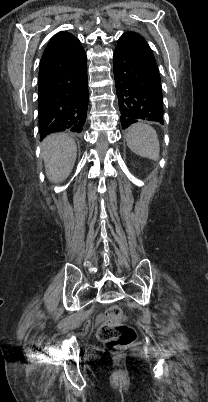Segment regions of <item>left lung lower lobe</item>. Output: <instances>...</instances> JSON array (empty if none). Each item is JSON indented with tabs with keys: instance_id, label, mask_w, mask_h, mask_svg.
Wrapping results in <instances>:
<instances>
[{
	"instance_id": "obj_1",
	"label": "left lung lower lobe",
	"mask_w": 208,
	"mask_h": 402,
	"mask_svg": "<svg viewBox=\"0 0 208 402\" xmlns=\"http://www.w3.org/2000/svg\"><path fill=\"white\" fill-rule=\"evenodd\" d=\"M113 60L123 129L138 120L163 124L160 75L145 39L135 32L124 33L118 40Z\"/></svg>"
}]
</instances>
